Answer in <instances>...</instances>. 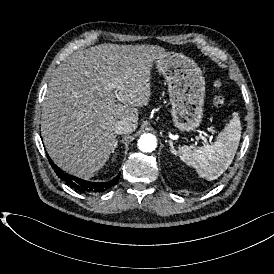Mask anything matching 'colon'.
I'll return each instance as SVG.
<instances>
[{
    "mask_svg": "<svg viewBox=\"0 0 274 274\" xmlns=\"http://www.w3.org/2000/svg\"><path fill=\"white\" fill-rule=\"evenodd\" d=\"M224 101H225V99H224L223 95H219V96L215 99V105H216L217 107H221V106L224 104Z\"/></svg>",
    "mask_w": 274,
    "mask_h": 274,
    "instance_id": "obj_1",
    "label": "colon"
}]
</instances>
